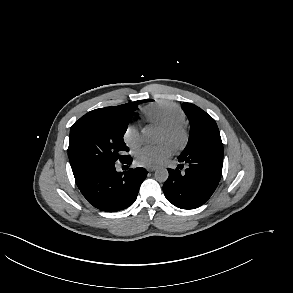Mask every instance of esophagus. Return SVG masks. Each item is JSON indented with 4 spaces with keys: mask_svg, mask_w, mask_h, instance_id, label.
Returning a JSON list of instances; mask_svg holds the SVG:
<instances>
[{
    "mask_svg": "<svg viewBox=\"0 0 293 293\" xmlns=\"http://www.w3.org/2000/svg\"><path fill=\"white\" fill-rule=\"evenodd\" d=\"M146 170L148 172H154L156 170V168L155 167H147Z\"/></svg>",
    "mask_w": 293,
    "mask_h": 293,
    "instance_id": "esophagus-1",
    "label": "esophagus"
}]
</instances>
